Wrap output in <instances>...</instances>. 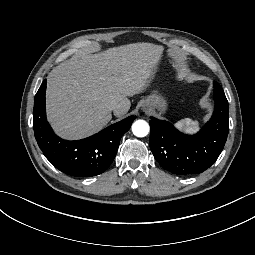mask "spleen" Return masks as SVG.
Returning a JSON list of instances; mask_svg holds the SVG:
<instances>
[{"instance_id": "obj_1", "label": "spleen", "mask_w": 255, "mask_h": 255, "mask_svg": "<svg viewBox=\"0 0 255 255\" xmlns=\"http://www.w3.org/2000/svg\"><path fill=\"white\" fill-rule=\"evenodd\" d=\"M176 125H177L178 127H180V128L185 127V129H186V130H189V131L195 129V124H194V122H193L191 119H189V118H184V119L178 121V122L176 123Z\"/></svg>"}]
</instances>
